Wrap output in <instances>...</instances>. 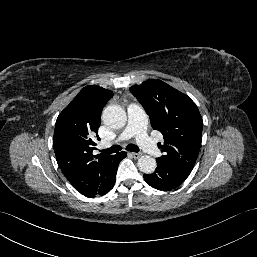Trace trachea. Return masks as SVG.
I'll return each mask as SVG.
<instances>
[{"label":"trachea","mask_w":257,"mask_h":257,"mask_svg":"<svg viewBox=\"0 0 257 257\" xmlns=\"http://www.w3.org/2000/svg\"><path fill=\"white\" fill-rule=\"evenodd\" d=\"M121 146L120 145H113L112 147L108 149H103L101 152L103 154H111V153H117L121 151ZM126 150L131 151V152H139V148L135 144H128L126 147Z\"/></svg>","instance_id":"trachea-1"}]
</instances>
